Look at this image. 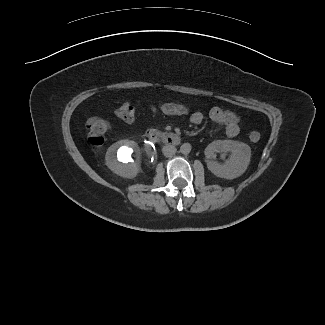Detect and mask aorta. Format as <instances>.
Returning a JSON list of instances; mask_svg holds the SVG:
<instances>
[{"mask_svg":"<svg viewBox=\"0 0 325 325\" xmlns=\"http://www.w3.org/2000/svg\"><path fill=\"white\" fill-rule=\"evenodd\" d=\"M190 151H191V145L189 143H184V144L181 145L180 152L182 154L187 155V154L190 153Z\"/></svg>","mask_w":325,"mask_h":325,"instance_id":"aorta-1","label":"aorta"}]
</instances>
